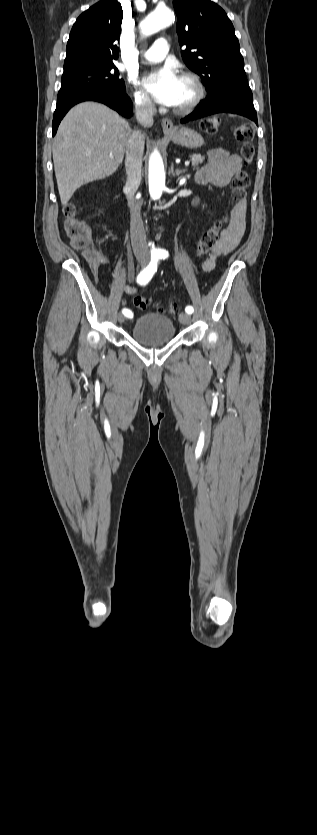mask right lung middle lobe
Wrapping results in <instances>:
<instances>
[{"label": "right lung middle lobe", "instance_id": "dd1d6c3e", "mask_svg": "<svg viewBox=\"0 0 317 835\" xmlns=\"http://www.w3.org/2000/svg\"><path fill=\"white\" fill-rule=\"evenodd\" d=\"M99 88L125 91L123 79L114 63L71 61L64 64L58 100L67 96Z\"/></svg>", "mask_w": 317, "mask_h": 835}]
</instances>
